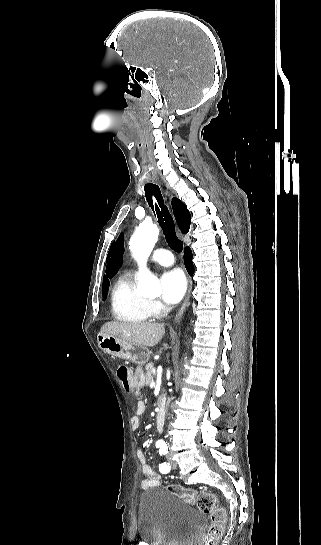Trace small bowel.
<instances>
[{
  "label": "small bowel",
  "instance_id": "c3829d8e",
  "mask_svg": "<svg viewBox=\"0 0 321 545\" xmlns=\"http://www.w3.org/2000/svg\"><path fill=\"white\" fill-rule=\"evenodd\" d=\"M141 382H142L141 376L137 375L134 379V384L137 389L136 393H138V388L141 386ZM145 410H146L145 403L139 400L137 402L136 416L132 418V427L134 429H138L140 427L141 416L144 414ZM137 456L141 464L142 474L144 475V480L142 481V488L149 489V488L160 486L161 474L150 467V465L147 463V459L144 453L141 450L137 452Z\"/></svg>",
  "mask_w": 321,
  "mask_h": 545
}]
</instances>
